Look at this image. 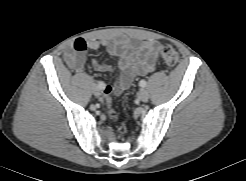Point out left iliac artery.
Returning a JSON list of instances; mask_svg holds the SVG:
<instances>
[{
	"mask_svg": "<svg viewBox=\"0 0 246 181\" xmlns=\"http://www.w3.org/2000/svg\"><path fill=\"white\" fill-rule=\"evenodd\" d=\"M139 85H140L141 87H146L147 82H146L145 80H141V81L139 82Z\"/></svg>",
	"mask_w": 246,
	"mask_h": 181,
	"instance_id": "44dca946",
	"label": "left iliac artery"
}]
</instances>
